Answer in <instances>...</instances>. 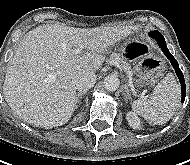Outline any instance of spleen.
I'll return each instance as SVG.
<instances>
[{
  "instance_id": "3e777b00",
  "label": "spleen",
  "mask_w": 190,
  "mask_h": 165,
  "mask_svg": "<svg viewBox=\"0 0 190 165\" xmlns=\"http://www.w3.org/2000/svg\"><path fill=\"white\" fill-rule=\"evenodd\" d=\"M181 98L180 86L172 73H168L153 90L147 99L142 98L132 103L134 113L144 117L147 121L162 125L174 115Z\"/></svg>"
}]
</instances>
